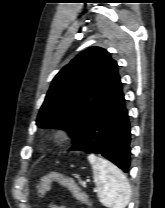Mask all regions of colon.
<instances>
[{
  "mask_svg": "<svg viewBox=\"0 0 165 208\" xmlns=\"http://www.w3.org/2000/svg\"><path fill=\"white\" fill-rule=\"evenodd\" d=\"M54 182L68 189L71 192V194L80 202L86 204L89 203L86 193H84L72 179L67 178L58 173L48 174L41 179V182L37 187L38 194H46L49 191L51 184Z\"/></svg>",
  "mask_w": 165,
  "mask_h": 208,
  "instance_id": "colon-1",
  "label": "colon"
}]
</instances>
